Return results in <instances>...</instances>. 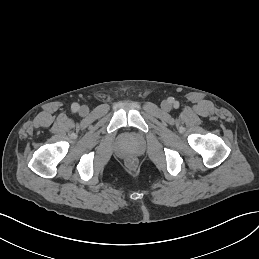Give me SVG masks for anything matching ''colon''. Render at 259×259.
<instances>
[{
	"label": "colon",
	"mask_w": 259,
	"mask_h": 259,
	"mask_svg": "<svg viewBox=\"0 0 259 259\" xmlns=\"http://www.w3.org/2000/svg\"><path fill=\"white\" fill-rule=\"evenodd\" d=\"M126 166L129 168H135L137 166V160L134 157H129L126 160Z\"/></svg>",
	"instance_id": "1"
}]
</instances>
